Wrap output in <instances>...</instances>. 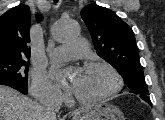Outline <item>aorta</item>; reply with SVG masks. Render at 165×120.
<instances>
[{
	"mask_svg": "<svg viewBox=\"0 0 165 120\" xmlns=\"http://www.w3.org/2000/svg\"><path fill=\"white\" fill-rule=\"evenodd\" d=\"M78 32V23L74 20H68L56 27L54 30V38L58 41H62L77 35Z\"/></svg>",
	"mask_w": 165,
	"mask_h": 120,
	"instance_id": "1",
	"label": "aorta"
}]
</instances>
